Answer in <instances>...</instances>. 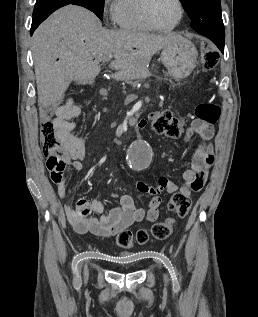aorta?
<instances>
[{
	"label": "aorta",
	"mask_w": 258,
	"mask_h": 317,
	"mask_svg": "<svg viewBox=\"0 0 258 317\" xmlns=\"http://www.w3.org/2000/svg\"><path fill=\"white\" fill-rule=\"evenodd\" d=\"M151 156L148 143L142 140L136 141L129 151V164L135 170H143L149 166Z\"/></svg>",
	"instance_id": "1"
}]
</instances>
